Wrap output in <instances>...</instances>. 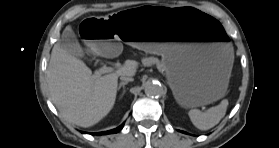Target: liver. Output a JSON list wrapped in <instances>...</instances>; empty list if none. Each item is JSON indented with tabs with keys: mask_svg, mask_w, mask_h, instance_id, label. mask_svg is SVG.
I'll use <instances>...</instances> for the list:
<instances>
[{
	"mask_svg": "<svg viewBox=\"0 0 279 148\" xmlns=\"http://www.w3.org/2000/svg\"><path fill=\"white\" fill-rule=\"evenodd\" d=\"M89 53L100 56L102 52L92 43ZM138 63L126 60L117 71L92 74L86 64L56 43L47 69L50 98L62 117L75 125L87 128L101 121L113 108L117 95L119 76L132 77Z\"/></svg>",
	"mask_w": 279,
	"mask_h": 148,
	"instance_id": "liver-1",
	"label": "liver"
}]
</instances>
